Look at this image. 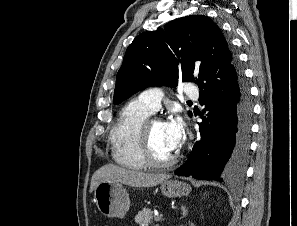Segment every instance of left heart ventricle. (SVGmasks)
Masks as SVG:
<instances>
[{
	"label": "left heart ventricle",
	"mask_w": 297,
	"mask_h": 226,
	"mask_svg": "<svg viewBox=\"0 0 297 226\" xmlns=\"http://www.w3.org/2000/svg\"><path fill=\"white\" fill-rule=\"evenodd\" d=\"M151 147L159 159H168L176 152L168 143L165 124L154 122L150 128Z\"/></svg>",
	"instance_id": "1"
}]
</instances>
